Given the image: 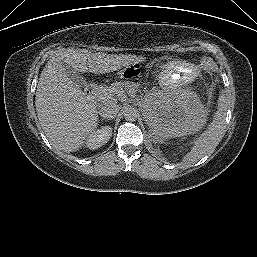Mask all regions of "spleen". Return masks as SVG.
<instances>
[{"mask_svg":"<svg viewBox=\"0 0 257 257\" xmlns=\"http://www.w3.org/2000/svg\"><path fill=\"white\" fill-rule=\"evenodd\" d=\"M227 108L226 98L221 94L212 121L207 129L194 141L190 152L183 157L184 163L193 164L215 149L223 135Z\"/></svg>","mask_w":257,"mask_h":257,"instance_id":"spleen-1","label":"spleen"}]
</instances>
